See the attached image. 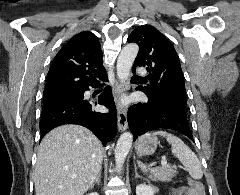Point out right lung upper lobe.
<instances>
[{"label": "right lung upper lobe", "instance_id": "right-lung-upper-lobe-1", "mask_svg": "<svg viewBox=\"0 0 240 195\" xmlns=\"http://www.w3.org/2000/svg\"><path fill=\"white\" fill-rule=\"evenodd\" d=\"M105 78L98 38L84 31L69 40L55 56L47 74L44 95L78 92Z\"/></svg>", "mask_w": 240, "mask_h": 195}]
</instances>
